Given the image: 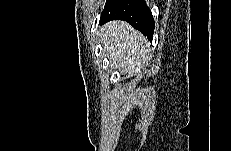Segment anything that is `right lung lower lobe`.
<instances>
[{
	"label": "right lung lower lobe",
	"mask_w": 231,
	"mask_h": 151,
	"mask_svg": "<svg viewBox=\"0 0 231 151\" xmlns=\"http://www.w3.org/2000/svg\"><path fill=\"white\" fill-rule=\"evenodd\" d=\"M124 20L139 30L149 40L154 33V19L144 0H107L100 23Z\"/></svg>",
	"instance_id": "obj_1"
}]
</instances>
